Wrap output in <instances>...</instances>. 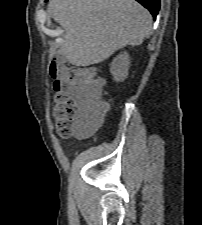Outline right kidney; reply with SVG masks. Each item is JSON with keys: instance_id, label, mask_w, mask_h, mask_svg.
<instances>
[{"instance_id": "right-kidney-1", "label": "right kidney", "mask_w": 202, "mask_h": 225, "mask_svg": "<svg viewBox=\"0 0 202 225\" xmlns=\"http://www.w3.org/2000/svg\"><path fill=\"white\" fill-rule=\"evenodd\" d=\"M130 59L129 55L124 52L117 56L110 65V71L115 81H123L128 76Z\"/></svg>"}]
</instances>
